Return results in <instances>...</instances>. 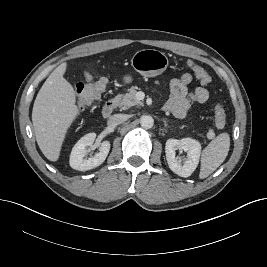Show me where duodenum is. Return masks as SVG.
I'll use <instances>...</instances> for the list:
<instances>
[{"mask_svg": "<svg viewBox=\"0 0 267 267\" xmlns=\"http://www.w3.org/2000/svg\"><path fill=\"white\" fill-rule=\"evenodd\" d=\"M117 105V101L114 98L107 100L103 106L102 114L105 118H108L112 115Z\"/></svg>", "mask_w": 267, "mask_h": 267, "instance_id": "duodenum-1", "label": "duodenum"}]
</instances>
